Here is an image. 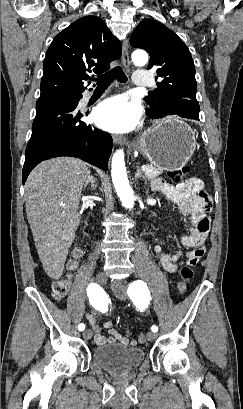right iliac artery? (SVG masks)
<instances>
[{
    "mask_svg": "<svg viewBox=\"0 0 243 409\" xmlns=\"http://www.w3.org/2000/svg\"><path fill=\"white\" fill-rule=\"evenodd\" d=\"M87 295L92 306L101 310L106 308V297L99 285L91 283L87 288ZM78 329L83 331L85 329V325L83 323L79 324Z\"/></svg>",
    "mask_w": 243,
    "mask_h": 409,
    "instance_id": "right-iliac-artery-1",
    "label": "right iliac artery"
}]
</instances>
